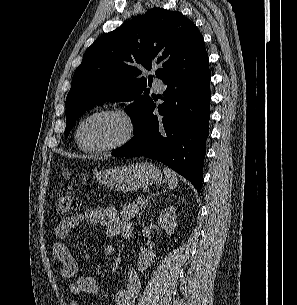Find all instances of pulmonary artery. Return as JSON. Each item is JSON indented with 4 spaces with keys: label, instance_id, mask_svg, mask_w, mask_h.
<instances>
[{
    "label": "pulmonary artery",
    "instance_id": "1",
    "mask_svg": "<svg viewBox=\"0 0 297 305\" xmlns=\"http://www.w3.org/2000/svg\"><path fill=\"white\" fill-rule=\"evenodd\" d=\"M153 86L155 89H157L159 91L163 90V88H164L162 81L159 79H155L153 81Z\"/></svg>",
    "mask_w": 297,
    "mask_h": 305
}]
</instances>
